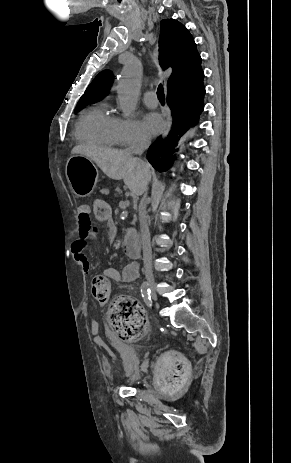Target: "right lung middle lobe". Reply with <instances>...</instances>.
Here are the masks:
<instances>
[{"label": "right lung middle lobe", "instance_id": "obj_1", "mask_svg": "<svg viewBox=\"0 0 291 463\" xmlns=\"http://www.w3.org/2000/svg\"><path fill=\"white\" fill-rule=\"evenodd\" d=\"M87 103H80L76 106V110H79L82 106H84Z\"/></svg>", "mask_w": 291, "mask_h": 463}]
</instances>
